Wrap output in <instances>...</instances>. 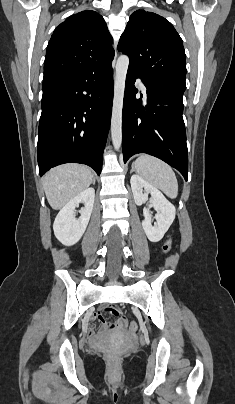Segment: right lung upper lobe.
<instances>
[{
    "instance_id": "right-lung-upper-lobe-1",
    "label": "right lung upper lobe",
    "mask_w": 235,
    "mask_h": 404,
    "mask_svg": "<svg viewBox=\"0 0 235 404\" xmlns=\"http://www.w3.org/2000/svg\"><path fill=\"white\" fill-rule=\"evenodd\" d=\"M112 37L103 17L85 10L68 17L48 43L43 80L94 71L112 64Z\"/></svg>"
}]
</instances>
